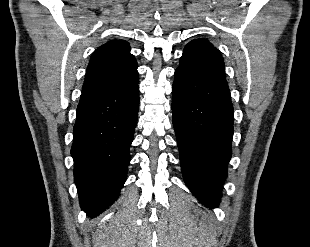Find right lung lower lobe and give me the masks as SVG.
Returning a JSON list of instances; mask_svg holds the SVG:
<instances>
[{"mask_svg": "<svg viewBox=\"0 0 310 247\" xmlns=\"http://www.w3.org/2000/svg\"><path fill=\"white\" fill-rule=\"evenodd\" d=\"M138 107V82L80 97L71 155L80 205L89 216L108 208L126 180Z\"/></svg>", "mask_w": 310, "mask_h": 247, "instance_id": "obj_1", "label": "right lung lower lobe"}]
</instances>
